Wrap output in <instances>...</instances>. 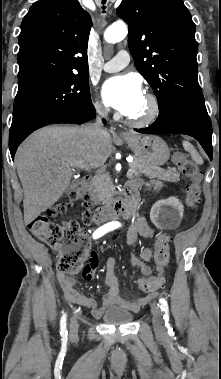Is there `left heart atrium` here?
<instances>
[{
  "label": "left heart atrium",
  "mask_w": 221,
  "mask_h": 379,
  "mask_svg": "<svg viewBox=\"0 0 221 379\" xmlns=\"http://www.w3.org/2000/svg\"><path fill=\"white\" fill-rule=\"evenodd\" d=\"M102 97L107 105L130 116L140 107L144 94L135 76L124 75L108 79L102 87Z\"/></svg>",
  "instance_id": "39dd6f15"
}]
</instances>
